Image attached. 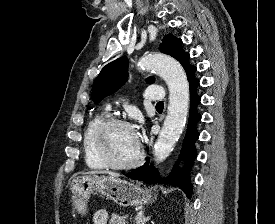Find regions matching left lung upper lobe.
Here are the masks:
<instances>
[{"label":"left lung upper lobe","instance_id":"5c2ea615","mask_svg":"<svg viewBox=\"0 0 275 224\" xmlns=\"http://www.w3.org/2000/svg\"><path fill=\"white\" fill-rule=\"evenodd\" d=\"M160 51L177 59L188 75L195 66L189 64L190 55L182 48V40L172 35H166L161 44ZM127 57L118 58L107 64L100 72L92 87V100L100 102L105 96L119 89L128 76ZM154 77L147 78L148 83H154Z\"/></svg>","mask_w":275,"mask_h":224}]
</instances>
